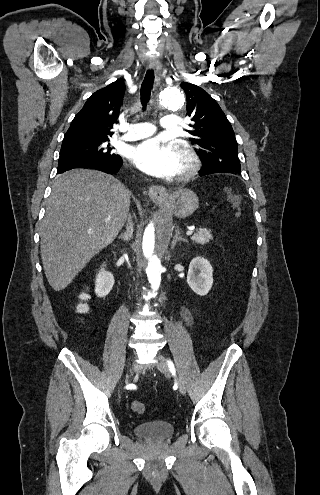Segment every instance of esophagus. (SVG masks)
Masks as SVG:
<instances>
[{
    "instance_id": "esophagus-1",
    "label": "esophagus",
    "mask_w": 320,
    "mask_h": 495,
    "mask_svg": "<svg viewBox=\"0 0 320 495\" xmlns=\"http://www.w3.org/2000/svg\"><path fill=\"white\" fill-rule=\"evenodd\" d=\"M149 68L155 72L156 84L160 81L161 75V65L156 60L149 61ZM148 195L154 202L162 201L167 196V190L165 187L160 185H152L148 188Z\"/></svg>"
}]
</instances>
